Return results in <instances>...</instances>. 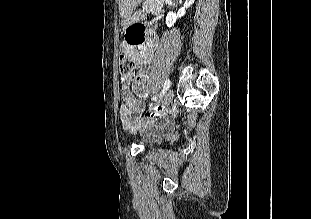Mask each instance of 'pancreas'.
Instances as JSON below:
<instances>
[{
  "label": "pancreas",
  "instance_id": "1",
  "mask_svg": "<svg viewBox=\"0 0 311 219\" xmlns=\"http://www.w3.org/2000/svg\"><path fill=\"white\" fill-rule=\"evenodd\" d=\"M163 0H145L142 7L143 11L150 12L155 9H161Z\"/></svg>",
  "mask_w": 311,
  "mask_h": 219
}]
</instances>
